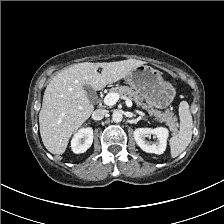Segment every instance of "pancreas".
<instances>
[{
  "instance_id": "1",
  "label": "pancreas",
  "mask_w": 224,
  "mask_h": 224,
  "mask_svg": "<svg viewBox=\"0 0 224 224\" xmlns=\"http://www.w3.org/2000/svg\"><path fill=\"white\" fill-rule=\"evenodd\" d=\"M110 93H118L120 97L127 96L129 99L133 100L138 107H142L150 115H153L160 121L165 122L172 131H176L178 126L176 117H173L170 113H163L159 110L153 109L152 106L144 103L143 98L139 95V93L133 90L131 87L117 85L116 87L110 89Z\"/></svg>"
}]
</instances>
